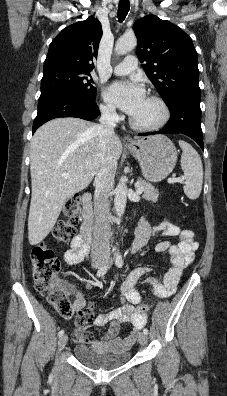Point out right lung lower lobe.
<instances>
[{
	"label": "right lung lower lobe",
	"instance_id": "98d812e1",
	"mask_svg": "<svg viewBox=\"0 0 227 396\" xmlns=\"http://www.w3.org/2000/svg\"><path fill=\"white\" fill-rule=\"evenodd\" d=\"M99 116L95 101H89L68 93L55 92L41 95L38 113L33 123V133L45 122L59 117H76L93 120Z\"/></svg>",
	"mask_w": 227,
	"mask_h": 396
}]
</instances>
